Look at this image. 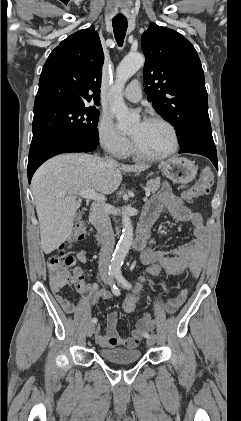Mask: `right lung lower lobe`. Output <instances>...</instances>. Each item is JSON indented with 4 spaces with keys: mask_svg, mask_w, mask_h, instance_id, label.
Wrapping results in <instances>:
<instances>
[{
    "mask_svg": "<svg viewBox=\"0 0 241 421\" xmlns=\"http://www.w3.org/2000/svg\"><path fill=\"white\" fill-rule=\"evenodd\" d=\"M97 145L73 137H54L31 143L28 160L29 183L36 169L49 158L69 152H91Z\"/></svg>",
    "mask_w": 241,
    "mask_h": 421,
    "instance_id": "right-lung-lower-lobe-1",
    "label": "right lung lower lobe"
}]
</instances>
